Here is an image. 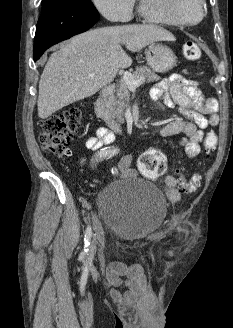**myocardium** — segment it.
I'll use <instances>...</instances> for the list:
<instances>
[{"label":"myocardium","instance_id":"1","mask_svg":"<svg viewBox=\"0 0 233 328\" xmlns=\"http://www.w3.org/2000/svg\"><path fill=\"white\" fill-rule=\"evenodd\" d=\"M200 2V16L195 21H183L166 11L162 0H140V7L144 14L157 23H164L175 26L191 27L201 23L205 17V0Z\"/></svg>","mask_w":233,"mask_h":328}]
</instances>
